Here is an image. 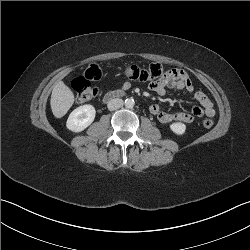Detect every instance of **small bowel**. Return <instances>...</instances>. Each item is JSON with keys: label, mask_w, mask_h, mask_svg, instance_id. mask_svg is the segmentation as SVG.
<instances>
[{"label": "small bowel", "mask_w": 250, "mask_h": 250, "mask_svg": "<svg viewBox=\"0 0 250 250\" xmlns=\"http://www.w3.org/2000/svg\"><path fill=\"white\" fill-rule=\"evenodd\" d=\"M129 83H124L123 88H128ZM146 87L150 91H154L159 96L166 95L168 89L173 90H185L193 95L195 100L201 105V107H193L191 112H165L162 111L158 104H152L149 108L151 114L161 123L170 122H183L192 123L196 118L203 116L213 117L215 115V109L212 101L202 91L195 90L193 83L188 74L181 69H171L164 74L163 78L158 82L150 80L147 82Z\"/></svg>", "instance_id": "obj_1"}]
</instances>
